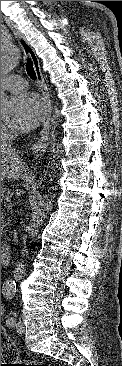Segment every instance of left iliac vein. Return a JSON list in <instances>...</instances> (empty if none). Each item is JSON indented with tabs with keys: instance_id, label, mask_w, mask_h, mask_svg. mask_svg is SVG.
Masks as SVG:
<instances>
[{
	"instance_id": "left-iliac-vein-1",
	"label": "left iliac vein",
	"mask_w": 122,
	"mask_h": 366,
	"mask_svg": "<svg viewBox=\"0 0 122 366\" xmlns=\"http://www.w3.org/2000/svg\"><path fill=\"white\" fill-rule=\"evenodd\" d=\"M16 329H17V332L20 333V334L25 332V327H24V324H23L22 321H18L16 323Z\"/></svg>"
}]
</instances>
